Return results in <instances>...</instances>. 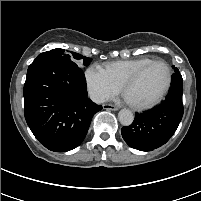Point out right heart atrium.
Instances as JSON below:
<instances>
[{"label":"right heart atrium","mask_w":201,"mask_h":201,"mask_svg":"<svg viewBox=\"0 0 201 201\" xmlns=\"http://www.w3.org/2000/svg\"><path fill=\"white\" fill-rule=\"evenodd\" d=\"M85 82L90 97L97 103H103L120 91L108 72L100 65H91L85 71Z\"/></svg>","instance_id":"obj_1"}]
</instances>
